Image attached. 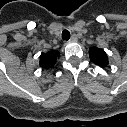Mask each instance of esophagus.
<instances>
[{"label": "esophagus", "instance_id": "34e87169", "mask_svg": "<svg viewBox=\"0 0 127 127\" xmlns=\"http://www.w3.org/2000/svg\"><path fill=\"white\" fill-rule=\"evenodd\" d=\"M78 38L77 35L73 34L71 38L69 39L70 42H77Z\"/></svg>", "mask_w": 127, "mask_h": 127}]
</instances>
